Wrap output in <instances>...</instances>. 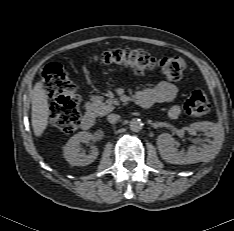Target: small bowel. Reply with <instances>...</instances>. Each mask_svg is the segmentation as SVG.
<instances>
[{
    "label": "small bowel",
    "mask_w": 234,
    "mask_h": 231,
    "mask_svg": "<svg viewBox=\"0 0 234 231\" xmlns=\"http://www.w3.org/2000/svg\"><path fill=\"white\" fill-rule=\"evenodd\" d=\"M137 94L149 100L151 106L156 103H171L177 95V87L168 82H159L157 85L146 88ZM180 113L179 105H172L168 110V116L172 119H176Z\"/></svg>",
    "instance_id": "c3829d8e"
}]
</instances>
